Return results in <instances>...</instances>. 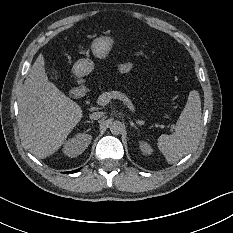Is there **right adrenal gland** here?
Instances as JSON below:
<instances>
[{"label":"right adrenal gland","instance_id":"2a0ac1e0","mask_svg":"<svg viewBox=\"0 0 233 233\" xmlns=\"http://www.w3.org/2000/svg\"><path fill=\"white\" fill-rule=\"evenodd\" d=\"M85 123H93V121L87 120Z\"/></svg>","mask_w":233,"mask_h":233}]
</instances>
